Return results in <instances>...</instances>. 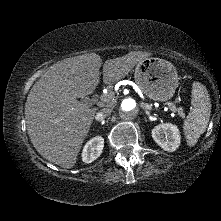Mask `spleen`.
I'll return each instance as SVG.
<instances>
[{
	"label": "spleen",
	"mask_w": 221,
	"mask_h": 221,
	"mask_svg": "<svg viewBox=\"0 0 221 221\" xmlns=\"http://www.w3.org/2000/svg\"><path fill=\"white\" fill-rule=\"evenodd\" d=\"M192 109L183 124V131L190 147L194 146L207 128L211 102L206 87L200 82L192 84Z\"/></svg>",
	"instance_id": "3e777b00"
}]
</instances>
